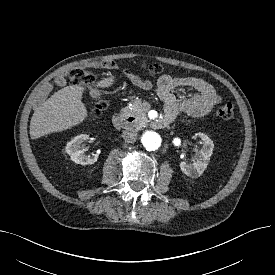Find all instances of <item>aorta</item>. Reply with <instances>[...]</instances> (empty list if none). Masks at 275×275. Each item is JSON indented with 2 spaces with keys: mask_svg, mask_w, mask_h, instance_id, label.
I'll return each mask as SVG.
<instances>
[{
  "mask_svg": "<svg viewBox=\"0 0 275 275\" xmlns=\"http://www.w3.org/2000/svg\"><path fill=\"white\" fill-rule=\"evenodd\" d=\"M161 137L154 131H147L142 136V143L146 150L155 151L161 146Z\"/></svg>",
  "mask_w": 275,
  "mask_h": 275,
  "instance_id": "aorta-1",
  "label": "aorta"
}]
</instances>
